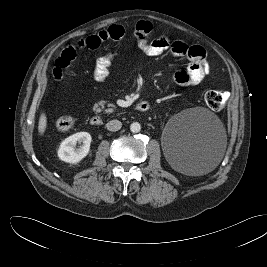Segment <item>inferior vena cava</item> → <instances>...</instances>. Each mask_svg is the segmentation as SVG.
<instances>
[{"instance_id": "1", "label": "inferior vena cava", "mask_w": 267, "mask_h": 267, "mask_svg": "<svg viewBox=\"0 0 267 267\" xmlns=\"http://www.w3.org/2000/svg\"><path fill=\"white\" fill-rule=\"evenodd\" d=\"M109 131L115 132L121 129L122 123L119 120H111L106 124Z\"/></svg>"}]
</instances>
